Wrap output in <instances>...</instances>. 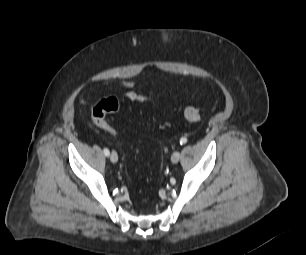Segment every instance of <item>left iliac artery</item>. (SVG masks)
<instances>
[{
    "label": "left iliac artery",
    "mask_w": 306,
    "mask_h": 255,
    "mask_svg": "<svg viewBox=\"0 0 306 255\" xmlns=\"http://www.w3.org/2000/svg\"><path fill=\"white\" fill-rule=\"evenodd\" d=\"M186 143H187V139L186 138L183 137V138L180 139V144L181 145L186 144Z\"/></svg>",
    "instance_id": "44dca946"
}]
</instances>
